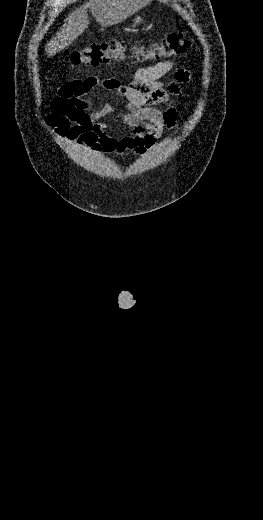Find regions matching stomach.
<instances>
[{
    "label": "stomach",
    "instance_id": "obj_1",
    "mask_svg": "<svg viewBox=\"0 0 263 520\" xmlns=\"http://www.w3.org/2000/svg\"><path fill=\"white\" fill-rule=\"evenodd\" d=\"M132 21H133L132 27L135 28L143 22V18L141 16L137 15L134 17V19Z\"/></svg>",
    "mask_w": 263,
    "mask_h": 520
}]
</instances>
